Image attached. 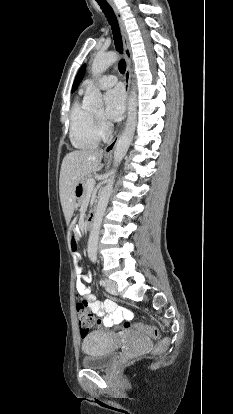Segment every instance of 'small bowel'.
<instances>
[{"label":"small bowel","mask_w":233,"mask_h":414,"mask_svg":"<svg viewBox=\"0 0 233 414\" xmlns=\"http://www.w3.org/2000/svg\"><path fill=\"white\" fill-rule=\"evenodd\" d=\"M79 236L83 235L82 231L78 232ZM73 267L76 272V290L77 293L83 296L89 303L92 312L100 319V323L105 327H112L120 325L125 321L132 319V313L125 307L118 306L113 300L106 299L104 301L96 300L91 290L86 286L85 282L90 281V276L83 274L81 267V254L72 252Z\"/></svg>","instance_id":"obj_1"}]
</instances>
